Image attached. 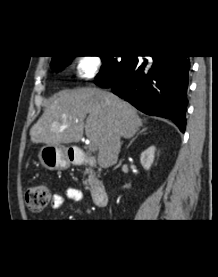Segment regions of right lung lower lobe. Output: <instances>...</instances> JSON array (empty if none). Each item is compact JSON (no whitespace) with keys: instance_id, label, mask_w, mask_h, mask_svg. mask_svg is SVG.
<instances>
[{"instance_id":"1","label":"right lung lower lobe","mask_w":218,"mask_h":277,"mask_svg":"<svg viewBox=\"0 0 218 277\" xmlns=\"http://www.w3.org/2000/svg\"><path fill=\"white\" fill-rule=\"evenodd\" d=\"M152 59L135 58L112 84V92L140 111L171 119L185 131L187 110L189 56H151Z\"/></svg>"}]
</instances>
